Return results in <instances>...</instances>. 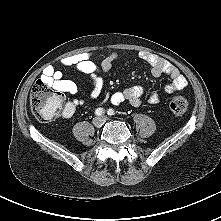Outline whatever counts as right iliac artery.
<instances>
[{"instance_id": "right-iliac-artery-1", "label": "right iliac artery", "mask_w": 221, "mask_h": 221, "mask_svg": "<svg viewBox=\"0 0 221 221\" xmlns=\"http://www.w3.org/2000/svg\"><path fill=\"white\" fill-rule=\"evenodd\" d=\"M95 114L98 115V116H101L102 114H104V109L103 108L96 109Z\"/></svg>"}]
</instances>
